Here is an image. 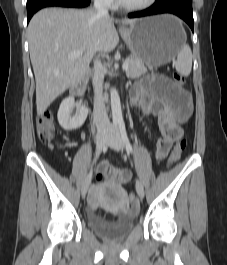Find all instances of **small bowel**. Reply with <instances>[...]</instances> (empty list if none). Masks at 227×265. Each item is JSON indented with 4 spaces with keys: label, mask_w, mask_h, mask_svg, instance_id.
I'll return each mask as SVG.
<instances>
[{
    "label": "small bowel",
    "mask_w": 227,
    "mask_h": 265,
    "mask_svg": "<svg viewBox=\"0 0 227 265\" xmlns=\"http://www.w3.org/2000/svg\"><path fill=\"white\" fill-rule=\"evenodd\" d=\"M148 78L139 82L132 89L131 101L145 117L158 121L160 136L156 144V159L162 161L167 156L172 143L183 136L182 124L193 111L190 94L173 83L164 75L149 73ZM100 172L107 174L110 182L118 185L131 180L132 174L127 169H118L104 163ZM98 198L92 194L89 203L93 210Z\"/></svg>",
    "instance_id": "small-bowel-1"
}]
</instances>
